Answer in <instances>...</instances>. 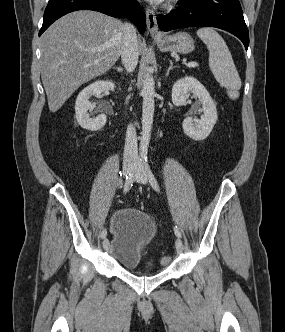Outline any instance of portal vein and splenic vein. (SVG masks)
Wrapping results in <instances>:
<instances>
[{"instance_id":"portal-vein-and-splenic-vein-1","label":"portal vein and splenic vein","mask_w":285,"mask_h":332,"mask_svg":"<svg viewBox=\"0 0 285 332\" xmlns=\"http://www.w3.org/2000/svg\"><path fill=\"white\" fill-rule=\"evenodd\" d=\"M188 67H197L198 66V63L197 62H189L187 64Z\"/></svg>"}]
</instances>
